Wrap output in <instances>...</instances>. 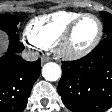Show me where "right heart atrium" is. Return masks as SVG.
Returning <instances> with one entry per match:
<instances>
[{"instance_id":"d8ad5b80","label":"right heart atrium","mask_w":112,"mask_h":112,"mask_svg":"<svg viewBox=\"0 0 112 112\" xmlns=\"http://www.w3.org/2000/svg\"><path fill=\"white\" fill-rule=\"evenodd\" d=\"M25 36H26V38H27V40H28V42H29V44H30L31 46H33V47H39V46H37V45L28 37L27 33H25Z\"/></svg>"}]
</instances>
